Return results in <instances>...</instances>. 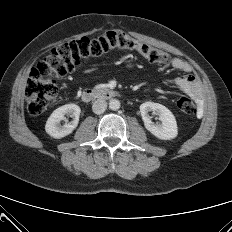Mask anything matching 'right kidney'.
<instances>
[{
  "label": "right kidney",
  "instance_id": "right-kidney-1",
  "mask_svg": "<svg viewBox=\"0 0 232 232\" xmlns=\"http://www.w3.org/2000/svg\"><path fill=\"white\" fill-rule=\"evenodd\" d=\"M80 112L81 109L76 104H66L57 108L46 122V132L56 139L69 135L78 125ZM65 115H70L73 118V121L61 125L60 122L65 120Z\"/></svg>",
  "mask_w": 232,
  "mask_h": 232
}]
</instances>
